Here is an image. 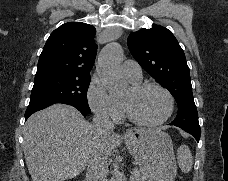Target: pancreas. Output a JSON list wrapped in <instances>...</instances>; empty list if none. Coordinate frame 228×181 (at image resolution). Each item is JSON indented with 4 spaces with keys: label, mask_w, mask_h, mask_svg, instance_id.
I'll list each match as a JSON object with an SVG mask.
<instances>
[{
    "label": "pancreas",
    "mask_w": 228,
    "mask_h": 181,
    "mask_svg": "<svg viewBox=\"0 0 228 181\" xmlns=\"http://www.w3.org/2000/svg\"><path fill=\"white\" fill-rule=\"evenodd\" d=\"M141 175H143V171H139V169H138V171H136V173H134V175H133L134 181H140Z\"/></svg>",
    "instance_id": "pancreas-1"
}]
</instances>
